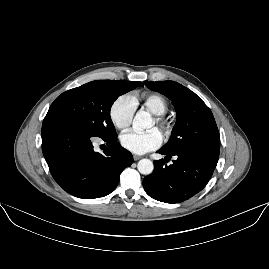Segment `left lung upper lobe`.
Returning <instances> with one entry per match:
<instances>
[{
	"mask_svg": "<svg viewBox=\"0 0 269 269\" xmlns=\"http://www.w3.org/2000/svg\"><path fill=\"white\" fill-rule=\"evenodd\" d=\"M143 83L168 97L177 113L176 124L164 148L219 156V131L211 110L199 96L174 81Z\"/></svg>",
	"mask_w": 269,
	"mask_h": 269,
	"instance_id": "left-lung-upper-lobe-1",
	"label": "left lung upper lobe"
}]
</instances>
